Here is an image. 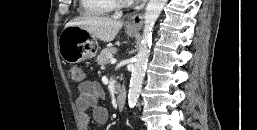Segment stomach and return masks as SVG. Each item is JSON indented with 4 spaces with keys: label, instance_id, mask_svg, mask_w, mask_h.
I'll return each instance as SVG.
<instances>
[{
    "label": "stomach",
    "instance_id": "obj_1",
    "mask_svg": "<svg viewBox=\"0 0 257 130\" xmlns=\"http://www.w3.org/2000/svg\"><path fill=\"white\" fill-rule=\"evenodd\" d=\"M137 29L126 26V33L134 35ZM59 53L67 63H78L96 55L97 48L94 39L79 26H66L59 36Z\"/></svg>",
    "mask_w": 257,
    "mask_h": 130
}]
</instances>
